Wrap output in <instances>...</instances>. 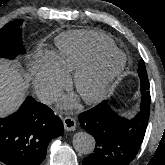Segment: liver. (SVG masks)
<instances>
[{
	"mask_svg": "<svg viewBox=\"0 0 165 165\" xmlns=\"http://www.w3.org/2000/svg\"><path fill=\"white\" fill-rule=\"evenodd\" d=\"M30 77L15 64L0 59V117L15 112L24 101Z\"/></svg>",
	"mask_w": 165,
	"mask_h": 165,
	"instance_id": "obj_1",
	"label": "liver"
}]
</instances>
